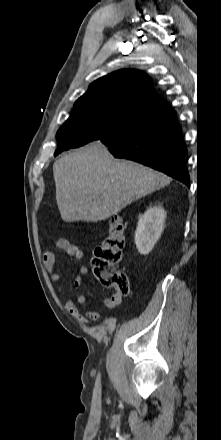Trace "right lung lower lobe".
Masks as SVG:
<instances>
[{"label": "right lung lower lobe", "mask_w": 221, "mask_h": 440, "mask_svg": "<svg viewBox=\"0 0 221 440\" xmlns=\"http://www.w3.org/2000/svg\"><path fill=\"white\" fill-rule=\"evenodd\" d=\"M99 140L114 157L139 162L190 186L184 162L187 149L176 113L166 100L134 112Z\"/></svg>", "instance_id": "1"}]
</instances>
